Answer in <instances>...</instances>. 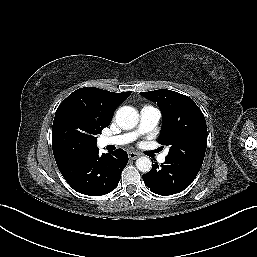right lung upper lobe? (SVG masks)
Listing matches in <instances>:
<instances>
[{
	"label": "right lung upper lobe",
	"instance_id": "1",
	"mask_svg": "<svg viewBox=\"0 0 257 257\" xmlns=\"http://www.w3.org/2000/svg\"><path fill=\"white\" fill-rule=\"evenodd\" d=\"M131 92L113 93L99 88H80L58 107L52 126V148L56 162L97 148L89 128L107 127L116 108Z\"/></svg>",
	"mask_w": 257,
	"mask_h": 257
}]
</instances>
